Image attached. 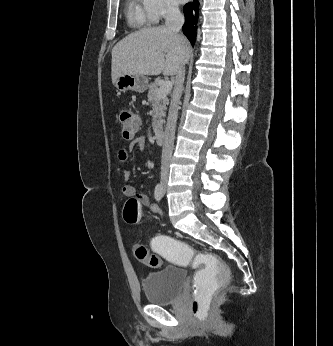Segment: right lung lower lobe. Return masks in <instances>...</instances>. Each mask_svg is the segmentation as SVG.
I'll return each mask as SVG.
<instances>
[{"instance_id":"right-lung-lower-lobe-1","label":"right lung lower lobe","mask_w":333,"mask_h":346,"mask_svg":"<svg viewBox=\"0 0 333 346\" xmlns=\"http://www.w3.org/2000/svg\"><path fill=\"white\" fill-rule=\"evenodd\" d=\"M185 15V24L183 25V33L189 39L192 45L195 43V23L197 21L198 2L194 0L193 3H187L183 9Z\"/></svg>"}]
</instances>
